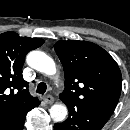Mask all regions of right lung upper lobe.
I'll return each instance as SVG.
<instances>
[{"mask_svg": "<svg viewBox=\"0 0 130 130\" xmlns=\"http://www.w3.org/2000/svg\"><path fill=\"white\" fill-rule=\"evenodd\" d=\"M43 43V39L20 37L15 32L0 34V123L17 118L40 103L30 95L22 67L26 54Z\"/></svg>", "mask_w": 130, "mask_h": 130, "instance_id": "cb5924a9", "label": "right lung upper lobe"}]
</instances>
